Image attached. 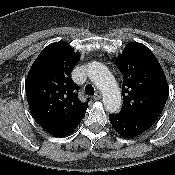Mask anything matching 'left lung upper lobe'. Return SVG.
Here are the masks:
<instances>
[{"instance_id":"5c2ea615","label":"left lung upper lobe","mask_w":175,"mask_h":175,"mask_svg":"<svg viewBox=\"0 0 175 175\" xmlns=\"http://www.w3.org/2000/svg\"><path fill=\"white\" fill-rule=\"evenodd\" d=\"M115 64L123 75V106L119 113L160 115L169 87L160 63L145 45L131 42Z\"/></svg>"}]
</instances>
